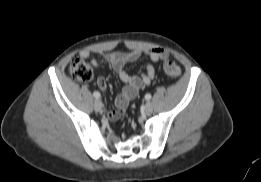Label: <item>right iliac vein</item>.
Instances as JSON below:
<instances>
[{"label":"right iliac vein","instance_id":"obj_1","mask_svg":"<svg viewBox=\"0 0 261 182\" xmlns=\"http://www.w3.org/2000/svg\"><path fill=\"white\" fill-rule=\"evenodd\" d=\"M93 106L95 111L97 112L101 111V109L103 108V104L100 100H95Z\"/></svg>","mask_w":261,"mask_h":182}]
</instances>
